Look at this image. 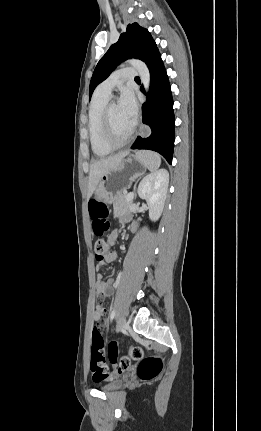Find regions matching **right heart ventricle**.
I'll list each match as a JSON object with an SVG mask.
<instances>
[{"instance_id": "e07e8e85", "label": "right heart ventricle", "mask_w": 261, "mask_h": 431, "mask_svg": "<svg viewBox=\"0 0 261 431\" xmlns=\"http://www.w3.org/2000/svg\"><path fill=\"white\" fill-rule=\"evenodd\" d=\"M109 101V95L95 92L88 113V133L92 152L97 157H105L113 152L102 137V112Z\"/></svg>"}]
</instances>
